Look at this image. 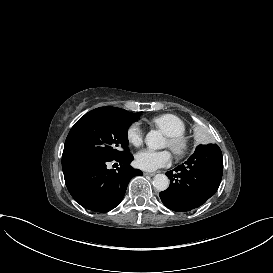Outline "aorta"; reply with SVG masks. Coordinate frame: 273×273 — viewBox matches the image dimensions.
<instances>
[{
	"mask_svg": "<svg viewBox=\"0 0 273 273\" xmlns=\"http://www.w3.org/2000/svg\"><path fill=\"white\" fill-rule=\"evenodd\" d=\"M146 144L152 149L165 147V139L160 131L151 130L145 138ZM153 186L158 191H164L169 187V179L164 174H157L153 178Z\"/></svg>",
	"mask_w": 273,
	"mask_h": 273,
	"instance_id": "aorta-1",
	"label": "aorta"
}]
</instances>
